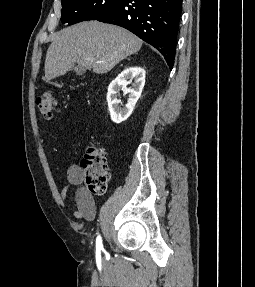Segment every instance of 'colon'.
<instances>
[{"mask_svg":"<svg viewBox=\"0 0 255 287\" xmlns=\"http://www.w3.org/2000/svg\"><path fill=\"white\" fill-rule=\"evenodd\" d=\"M39 112L47 119H52L53 111L57 105V98L47 92L36 99ZM84 181L90 192L102 194L107 189L109 170L106 153L102 148L88 147L83 159Z\"/></svg>","mask_w":255,"mask_h":287,"instance_id":"1","label":"colon"}]
</instances>
